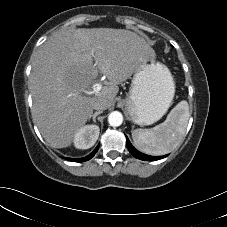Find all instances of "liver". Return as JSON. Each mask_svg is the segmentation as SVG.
<instances>
[{
	"label": "liver",
	"mask_w": 227,
	"mask_h": 227,
	"mask_svg": "<svg viewBox=\"0 0 227 227\" xmlns=\"http://www.w3.org/2000/svg\"><path fill=\"white\" fill-rule=\"evenodd\" d=\"M155 56L129 30L79 28L52 35L38 49L29 80L32 115L46 142L53 148L71 146L92 117L93 104L104 101L109 108L118 85ZM98 71L108 79L104 86L96 83Z\"/></svg>",
	"instance_id": "6515ba94"
}]
</instances>
